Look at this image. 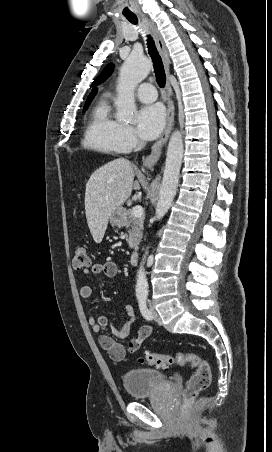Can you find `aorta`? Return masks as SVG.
I'll list each match as a JSON object with an SVG mask.
<instances>
[{
	"label": "aorta",
	"mask_w": 272,
	"mask_h": 452,
	"mask_svg": "<svg viewBox=\"0 0 272 452\" xmlns=\"http://www.w3.org/2000/svg\"><path fill=\"white\" fill-rule=\"evenodd\" d=\"M151 65L142 55L131 54L120 69L118 96L116 104V118L122 121H130L135 112L134 88L148 75ZM183 138L180 131L172 133L166 155L163 180L160 187L159 199L156 205L155 220H161L168 212L176 195L180 168L183 158ZM146 254L137 271L136 295L148 293V281L145 271Z\"/></svg>",
	"instance_id": "obj_1"
}]
</instances>
